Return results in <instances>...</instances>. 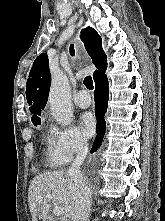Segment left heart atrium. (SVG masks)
<instances>
[{
	"label": "left heart atrium",
	"instance_id": "1",
	"mask_svg": "<svg viewBox=\"0 0 165 221\" xmlns=\"http://www.w3.org/2000/svg\"><path fill=\"white\" fill-rule=\"evenodd\" d=\"M80 125L87 136H92L96 129V119L90 112H85L80 117Z\"/></svg>",
	"mask_w": 165,
	"mask_h": 221
}]
</instances>
